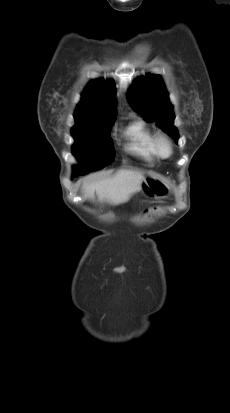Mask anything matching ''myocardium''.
Masks as SVG:
<instances>
[{
  "mask_svg": "<svg viewBox=\"0 0 230 413\" xmlns=\"http://www.w3.org/2000/svg\"><path fill=\"white\" fill-rule=\"evenodd\" d=\"M154 147L157 156L163 159L171 157L174 151L170 138L164 133L155 135Z\"/></svg>",
  "mask_w": 230,
  "mask_h": 413,
  "instance_id": "myocardium-1",
  "label": "myocardium"
}]
</instances>
